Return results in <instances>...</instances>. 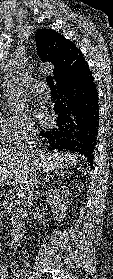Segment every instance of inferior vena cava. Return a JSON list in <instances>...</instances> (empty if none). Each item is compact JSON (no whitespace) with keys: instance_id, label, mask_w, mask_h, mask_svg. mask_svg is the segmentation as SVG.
<instances>
[{"instance_id":"602c4592","label":"inferior vena cava","mask_w":113,"mask_h":279,"mask_svg":"<svg viewBox=\"0 0 113 279\" xmlns=\"http://www.w3.org/2000/svg\"><path fill=\"white\" fill-rule=\"evenodd\" d=\"M36 146V131L32 126L26 127L22 137L18 140L16 148L24 154H34L33 149ZM38 184V178L35 174H31L27 183L28 206L31 207L33 200L34 186Z\"/></svg>"}]
</instances>
